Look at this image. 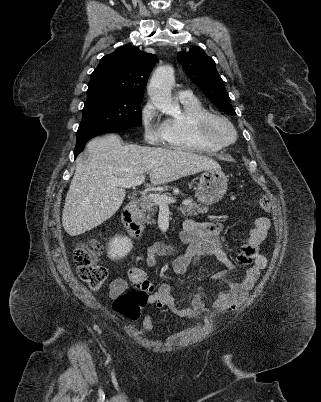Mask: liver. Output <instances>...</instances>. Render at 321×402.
Returning a JSON list of instances; mask_svg holds the SVG:
<instances>
[{
	"label": "liver",
	"mask_w": 321,
	"mask_h": 402,
	"mask_svg": "<svg viewBox=\"0 0 321 402\" xmlns=\"http://www.w3.org/2000/svg\"><path fill=\"white\" fill-rule=\"evenodd\" d=\"M89 156L76 160L66 195L62 225L70 236L81 235L108 220L122 205L125 190L110 180L149 173L151 185H161L207 169H221L212 158L182 149L122 145L109 134L92 139ZM147 186H150L147 184Z\"/></svg>",
	"instance_id": "obj_1"
}]
</instances>
